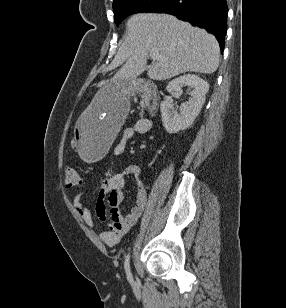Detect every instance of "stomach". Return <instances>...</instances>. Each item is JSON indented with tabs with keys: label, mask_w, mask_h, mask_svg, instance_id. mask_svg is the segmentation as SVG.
Returning <instances> with one entry per match:
<instances>
[{
	"label": "stomach",
	"mask_w": 286,
	"mask_h": 308,
	"mask_svg": "<svg viewBox=\"0 0 286 308\" xmlns=\"http://www.w3.org/2000/svg\"><path fill=\"white\" fill-rule=\"evenodd\" d=\"M132 81H114L97 89L94 97H90L89 109L74 122V149L79 151V160L90 165L106 156V149L112 147V137H116L115 129H120L123 117L130 108V91Z\"/></svg>",
	"instance_id": "1"
}]
</instances>
